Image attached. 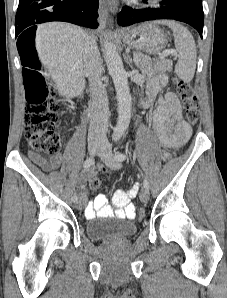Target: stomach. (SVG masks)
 Returning a JSON list of instances; mask_svg holds the SVG:
<instances>
[{
	"instance_id": "stomach-1",
	"label": "stomach",
	"mask_w": 227,
	"mask_h": 298,
	"mask_svg": "<svg viewBox=\"0 0 227 298\" xmlns=\"http://www.w3.org/2000/svg\"><path fill=\"white\" fill-rule=\"evenodd\" d=\"M123 42L131 48L148 53H160L166 46L168 38L155 23H143L122 35Z\"/></svg>"
}]
</instances>
